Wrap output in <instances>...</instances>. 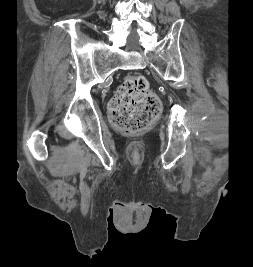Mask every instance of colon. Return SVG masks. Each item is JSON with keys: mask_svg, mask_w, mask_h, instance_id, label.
I'll return each mask as SVG.
<instances>
[{"mask_svg": "<svg viewBox=\"0 0 253 267\" xmlns=\"http://www.w3.org/2000/svg\"><path fill=\"white\" fill-rule=\"evenodd\" d=\"M112 124L119 131L136 135L144 131L161 111L159 98L144 76L131 75L120 85L109 103Z\"/></svg>", "mask_w": 253, "mask_h": 267, "instance_id": "1", "label": "colon"}]
</instances>
